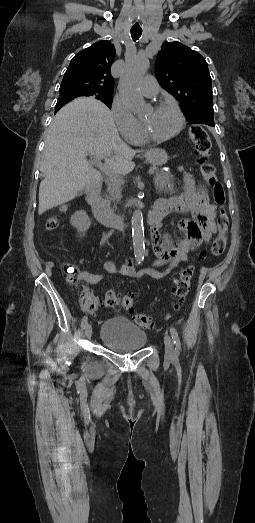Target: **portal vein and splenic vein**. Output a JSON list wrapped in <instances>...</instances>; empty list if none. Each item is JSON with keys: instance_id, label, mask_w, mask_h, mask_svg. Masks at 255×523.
Returning a JSON list of instances; mask_svg holds the SVG:
<instances>
[{"instance_id": "portal-vein-and-splenic-vein-1", "label": "portal vein and splenic vein", "mask_w": 255, "mask_h": 523, "mask_svg": "<svg viewBox=\"0 0 255 523\" xmlns=\"http://www.w3.org/2000/svg\"><path fill=\"white\" fill-rule=\"evenodd\" d=\"M95 162L96 163H94V168H96V170L101 172L103 175L114 173V170H111L110 163H105L104 165L101 162V158H99V156H95ZM149 176H153V170H149Z\"/></svg>"}]
</instances>
